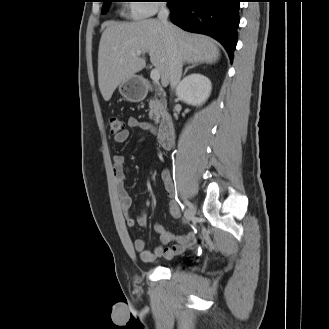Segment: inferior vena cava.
I'll return each mask as SVG.
<instances>
[{"instance_id":"inferior-vena-cava-1","label":"inferior vena cava","mask_w":329,"mask_h":329,"mask_svg":"<svg viewBox=\"0 0 329 329\" xmlns=\"http://www.w3.org/2000/svg\"><path fill=\"white\" fill-rule=\"evenodd\" d=\"M168 16H169V9L166 6V4H162L160 6V10L158 13V20L162 23L164 26L169 40L172 45H174L173 48V54L170 61V72H169V82L170 87L172 90L177 89L180 79L182 76V67H183V61L180 53L176 49L175 46V30L172 27V25L168 22Z\"/></svg>"}]
</instances>
